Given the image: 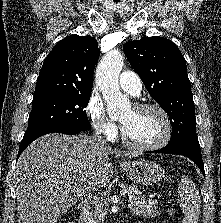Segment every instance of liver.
Masks as SVG:
<instances>
[{"instance_id":"6515ba94","label":"liver","mask_w":221,"mask_h":223,"mask_svg":"<svg viewBox=\"0 0 221 223\" xmlns=\"http://www.w3.org/2000/svg\"><path fill=\"white\" fill-rule=\"evenodd\" d=\"M110 154L134 156L87 135L54 133L32 142L15 169L18 223H56L77 203L72 194L105 187L113 176Z\"/></svg>"}]
</instances>
